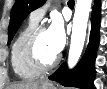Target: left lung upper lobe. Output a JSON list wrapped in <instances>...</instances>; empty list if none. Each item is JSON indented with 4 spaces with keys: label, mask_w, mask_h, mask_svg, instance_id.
Masks as SVG:
<instances>
[{
    "label": "left lung upper lobe",
    "mask_w": 107,
    "mask_h": 89,
    "mask_svg": "<svg viewBox=\"0 0 107 89\" xmlns=\"http://www.w3.org/2000/svg\"><path fill=\"white\" fill-rule=\"evenodd\" d=\"M46 0H15L10 15V24L8 28V43L17 32L26 16L45 3Z\"/></svg>",
    "instance_id": "5c2ea615"
}]
</instances>
